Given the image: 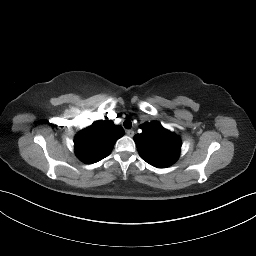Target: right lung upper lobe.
Returning <instances> with one entry per match:
<instances>
[{"label": "right lung upper lobe", "instance_id": "obj_1", "mask_svg": "<svg viewBox=\"0 0 256 256\" xmlns=\"http://www.w3.org/2000/svg\"><path fill=\"white\" fill-rule=\"evenodd\" d=\"M123 134V128L111 120L95 121L75 136V154L84 163L98 162L111 153L116 140Z\"/></svg>", "mask_w": 256, "mask_h": 256}]
</instances>
